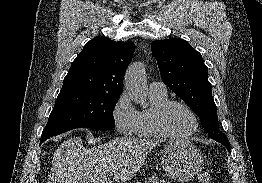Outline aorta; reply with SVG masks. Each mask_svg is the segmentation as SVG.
<instances>
[{
    "label": "aorta",
    "instance_id": "1",
    "mask_svg": "<svg viewBox=\"0 0 262 183\" xmlns=\"http://www.w3.org/2000/svg\"><path fill=\"white\" fill-rule=\"evenodd\" d=\"M124 86L134 103L145 106L147 84L142 64L133 63L128 67L124 78Z\"/></svg>",
    "mask_w": 262,
    "mask_h": 183
}]
</instances>
